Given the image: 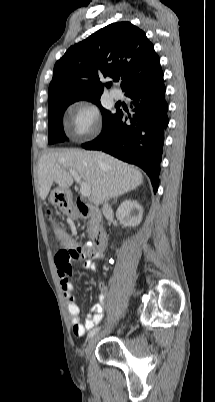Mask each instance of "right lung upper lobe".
Here are the masks:
<instances>
[{
  "label": "right lung upper lobe",
  "instance_id": "1",
  "mask_svg": "<svg viewBox=\"0 0 215 402\" xmlns=\"http://www.w3.org/2000/svg\"><path fill=\"white\" fill-rule=\"evenodd\" d=\"M122 76L130 91L163 79L160 58L144 31L129 22L112 23L71 46L54 66L48 103L62 98H87L103 93L101 80Z\"/></svg>",
  "mask_w": 215,
  "mask_h": 402
}]
</instances>
